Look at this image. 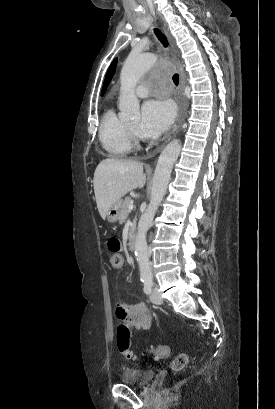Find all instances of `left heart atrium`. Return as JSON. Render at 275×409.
Returning <instances> with one entry per match:
<instances>
[{
	"mask_svg": "<svg viewBox=\"0 0 275 409\" xmlns=\"http://www.w3.org/2000/svg\"><path fill=\"white\" fill-rule=\"evenodd\" d=\"M174 118V108L169 101L149 100L142 109L139 133L143 137L156 138L168 129Z\"/></svg>",
	"mask_w": 275,
	"mask_h": 409,
	"instance_id": "39dd6f15",
	"label": "left heart atrium"
}]
</instances>
